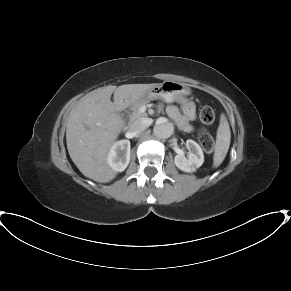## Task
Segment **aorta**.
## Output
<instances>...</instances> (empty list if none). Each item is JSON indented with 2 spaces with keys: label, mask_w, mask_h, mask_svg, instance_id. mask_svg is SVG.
I'll return each mask as SVG.
<instances>
[{
  "label": "aorta",
  "mask_w": 291,
  "mask_h": 291,
  "mask_svg": "<svg viewBox=\"0 0 291 291\" xmlns=\"http://www.w3.org/2000/svg\"><path fill=\"white\" fill-rule=\"evenodd\" d=\"M174 132V126L167 120H159L153 128V134L160 139L169 138Z\"/></svg>",
  "instance_id": "aorta-1"
}]
</instances>
